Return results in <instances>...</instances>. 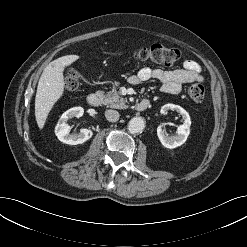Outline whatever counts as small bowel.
Returning a JSON list of instances; mask_svg holds the SVG:
<instances>
[{
    "instance_id": "1",
    "label": "small bowel",
    "mask_w": 247,
    "mask_h": 247,
    "mask_svg": "<svg viewBox=\"0 0 247 247\" xmlns=\"http://www.w3.org/2000/svg\"><path fill=\"white\" fill-rule=\"evenodd\" d=\"M149 79H156L163 83L162 91L168 94H177L187 83L202 82L200 65L194 60H186L181 69L164 70L144 67L137 74L129 77L131 84L137 85Z\"/></svg>"
}]
</instances>
